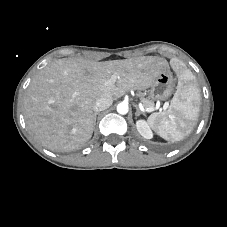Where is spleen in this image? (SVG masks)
<instances>
[{"instance_id": "1", "label": "spleen", "mask_w": 227, "mask_h": 227, "mask_svg": "<svg viewBox=\"0 0 227 227\" xmlns=\"http://www.w3.org/2000/svg\"><path fill=\"white\" fill-rule=\"evenodd\" d=\"M173 67L179 72V85L168 113H156L148 118L149 125L167 141L183 140L193 129L199 113L200 91L190 70L182 69L176 61Z\"/></svg>"}]
</instances>
